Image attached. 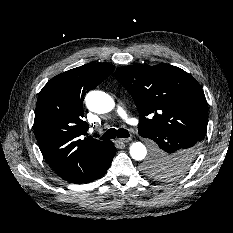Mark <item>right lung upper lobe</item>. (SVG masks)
<instances>
[{"label":"right lung upper lobe","instance_id":"cb5924a9","mask_svg":"<svg viewBox=\"0 0 233 233\" xmlns=\"http://www.w3.org/2000/svg\"><path fill=\"white\" fill-rule=\"evenodd\" d=\"M113 70L111 64L88 63L53 77L39 93L34 133L43 157L60 177L110 143L86 136L83 99Z\"/></svg>","mask_w":233,"mask_h":233}]
</instances>
